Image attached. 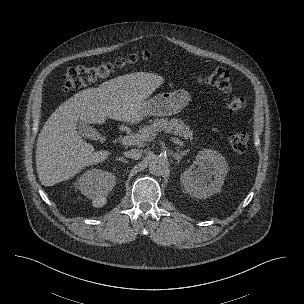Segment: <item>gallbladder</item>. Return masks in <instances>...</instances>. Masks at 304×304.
<instances>
[{
	"instance_id": "gallbladder-1",
	"label": "gallbladder",
	"mask_w": 304,
	"mask_h": 304,
	"mask_svg": "<svg viewBox=\"0 0 304 304\" xmlns=\"http://www.w3.org/2000/svg\"><path fill=\"white\" fill-rule=\"evenodd\" d=\"M77 131L82 134V136L87 138H92L95 135L96 130L89 124L79 122L77 125Z\"/></svg>"
}]
</instances>
